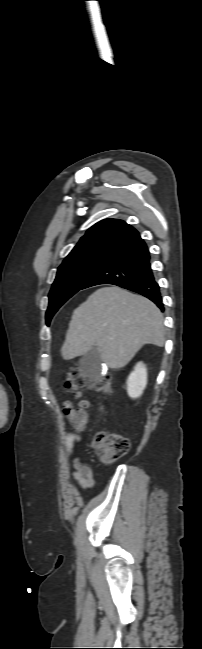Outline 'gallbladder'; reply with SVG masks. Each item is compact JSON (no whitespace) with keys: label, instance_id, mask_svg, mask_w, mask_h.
Wrapping results in <instances>:
<instances>
[{"label":"gallbladder","instance_id":"obj_1","mask_svg":"<svg viewBox=\"0 0 202 649\" xmlns=\"http://www.w3.org/2000/svg\"><path fill=\"white\" fill-rule=\"evenodd\" d=\"M102 369L101 353L98 347L93 346L80 359L79 370L82 376L90 380H97L102 375Z\"/></svg>","mask_w":202,"mask_h":649}]
</instances>
